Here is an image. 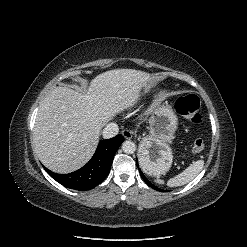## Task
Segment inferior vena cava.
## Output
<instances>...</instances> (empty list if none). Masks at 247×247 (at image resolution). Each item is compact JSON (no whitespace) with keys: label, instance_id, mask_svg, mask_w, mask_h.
<instances>
[{"label":"inferior vena cava","instance_id":"602c4592","mask_svg":"<svg viewBox=\"0 0 247 247\" xmlns=\"http://www.w3.org/2000/svg\"><path fill=\"white\" fill-rule=\"evenodd\" d=\"M119 132L118 125L116 123H109L102 131L103 138L108 139L116 136Z\"/></svg>","mask_w":247,"mask_h":247}]
</instances>
